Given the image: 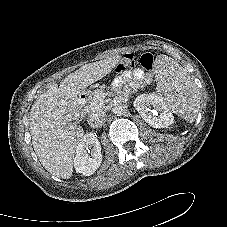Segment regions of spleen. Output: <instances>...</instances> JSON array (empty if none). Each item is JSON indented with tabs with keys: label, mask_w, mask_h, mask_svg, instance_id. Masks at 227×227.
<instances>
[{
	"label": "spleen",
	"mask_w": 227,
	"mask_h": 227,
	"mask_svg": "<svg viewBox=\"0 0 227 227\" xmlns=\"http://www.w3.org/2000/svg\"><path fill=\"white\" fill-rule=\"evenodd\" d=\"M157 94L168 109L193 122L199 111V91L187 71L174 59L166 55L158 56L155 66Z\"/></svg>",
	"instance_id": "3e777b00"
}]
</instances>
